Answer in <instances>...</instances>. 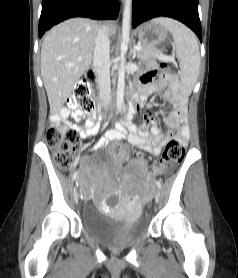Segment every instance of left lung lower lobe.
Segmentation results:
<instances>
[{
  "label": "left lung lower lobe",
  "mask_w": 238,
  "mask_h": 278,
  "mask_svg": "<svg viewBox=\"0 0 238 278\" xmlns=\"http://www.w3.org/2000/svg\"><path fill=\"white\" fill-rule=\"evenodd\" d=\"M159 16L181 21L202 41L198 0H133L132 27Z\"/></svg>",
  "instance_id": "1"
}]
</instances>
